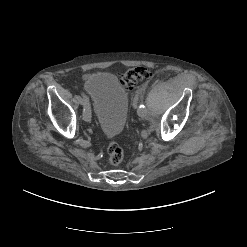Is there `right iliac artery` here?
<instances>
[{"label":"right iliac artery","instance_id":"right-iliac-artery-1","mask_svg":"<svg viewBox=\"0 0 247 247\" xmlns=\"http://www.w3.org/2000/svg\"><path fill=\"white\" fill-rule=\"evenodd\" d=\"M86 98V95L84 93H82V95H79L78 96V102L79 104L82 106V107H85L86 106V102H85V99Z\"/></svg>","mask_w":247,"mask_h":247}]
</instances>
